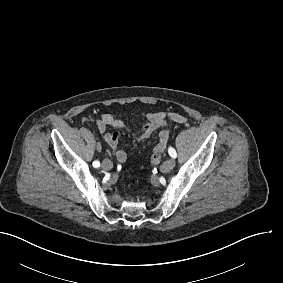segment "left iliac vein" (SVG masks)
Instances as JSON below:
<instances>
[{
  "instance_id": "4c4485c4",
  "label": "left iliac vein",
  "mask_w": 283,
  "mask_h": 283,
  "mask_svg": "<svg viewBox=\"0 0 283 283\" xmlns=\"http://www.w3.org/2000/svg\"><path fill=\"white\" fill-rule=\"evenodd\" d=\"M174 166H175V160L173 158H170L162 164L161 171L167 173L171 171Z\"/></svg>"
}]
</instances>
